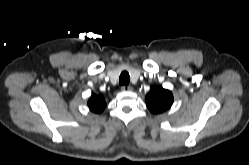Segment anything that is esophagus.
<instances>
[{"mask_svg":"<svg viewBox=\"0 0 249 165\" xmlns=\"http://www.w3.org/2000/svg\"><path fill=\"white\" fill-rule=\"evenodd\" d=\"M121 89H122V91H132L133 90V87L132 86H126V85H124V86H122L121 87Z\"/></svg>","mask_w":249,"mask_h":165,"instance_id":"1","label":"esophagus"}]
</instances>
